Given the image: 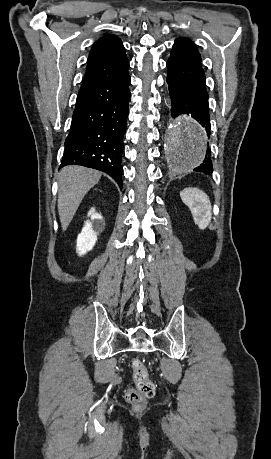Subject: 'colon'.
Wrapping results in <instances>:
<instances>
[{
    "label": "colon",
    "instance_id": "obj_1",
    "mask_svg": "<svg viewBox=\"0 0 271 459\" xmlns=\"http://www.w3.org/2000/svg\"><path fill=\"white\" fill-rule=\"evenodd\" d=\"M132 375L135 383L126 392V399L135 406H141L155 394V386L151 381L147 367L138 358L132 360Z\"/></svg>",
    "mask_w": 271,
    "mask_h": 459
}]
</instances>
